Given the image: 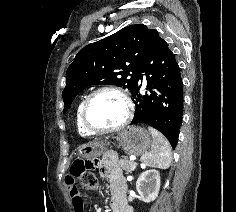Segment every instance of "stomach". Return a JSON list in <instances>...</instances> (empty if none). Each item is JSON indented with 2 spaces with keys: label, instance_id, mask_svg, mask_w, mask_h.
I'll return each mask as SVG.
<instances>
[{
  "label": "stomach",
  "instance_id": "obj_1",
  "mask_svg": "<svg viewBox=\"0 0 236 212\" xmlns=\"http://www.w3.org/2000/svg\"><path fill=\"white\" fill-rule=\"evenodd\" d=\"M116 141L125 153L134 155L146 153L152 144L148 131L136 126H129L119 132ZM108 144L104 140L84 144L78 148V155L88 160L96 159L106 151Z\"/></svg>",
  "mask_w": 236,
  "mask_h": 212
}]
</instances>
